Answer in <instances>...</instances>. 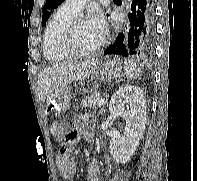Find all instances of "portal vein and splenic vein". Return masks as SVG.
<instances>
[{
  "label": "portal vein and splenic vein",
  "instance_id": "18ae733b",
  "mask_svg": "<svg viewBox=\"0 0 197 181\" xmlns=\"http://www.w3.org/2000/svg\"><path fill=\"white\" fill-rule=\"evenodd\" d=\"M104 103H105L104 99H100L97 104L99 106H102Z\"/></svg>",
  "mask_w": 197,
  "mask_h": 181
}]
</instances>
